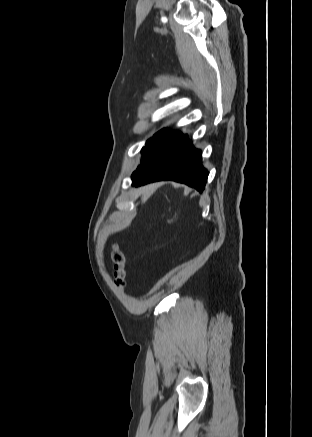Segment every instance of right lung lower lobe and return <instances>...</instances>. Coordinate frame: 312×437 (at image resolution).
<instances>
[{
	"label": "right lung lower lobe",
	"instance_id": "right-lung-lower-lobe-1",
	"mask_svg": "<svg viewBox=\"0 0 312 437\" xmlns=\"http://www.w3.org/2000/svg\"><path fill=\"white\" fill-rule=\"evenodd\" d=\"M201 162V151L193 147L187 135H181L173 142L143 154L141 164L132 174L133 184L173 180L202 192L208 171Z\"/></svg>",
	"mask_w": 312,
	"mask_h": 437
}]
</instances>
